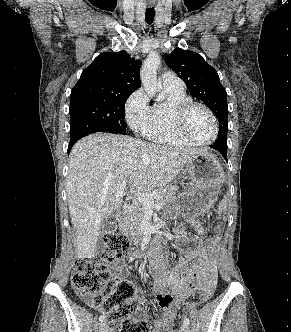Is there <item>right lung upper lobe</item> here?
I'll return each instance as SVG.
<instances>
[{
  "label": "right lung upper lobe",
  "instance_id": "right-lung-upper-lobe-1",
  "mask_svg": "<svg viewBox=\"0 0 291 332\" xmlns=\"http://www.w3.org/2000/svg\"><path fill=\"white\" fill-rule=\"evenodd\" d=\"M140 60L126 51L104 52L83 70L71 99L104 93H133L140 86Z\"/></svg>",
  "mask_w": 291,
  "mask_h": 332
}]
</instances>
